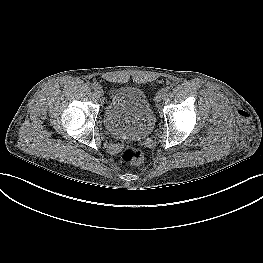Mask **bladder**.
Returning a JSON list of instances; mask_svg holds the SVG:
<instances>
[{
  "instance_id": "1",
  "label": "bladder",
  "mask_w": 263,
  "mask_h": 263,
  "mask_svg": "<svg viewBox=\"0 0 263 263\" xmlns=\"http://www.w3.org/2000/svg\"><path fill=\"white\" fill-rule=\"evenodd\" d=\"M102 123L116 137H147L153 130L154 113L140 88L127 87L111 96L104 107Z\"/></svg>"
}]
</instances>
